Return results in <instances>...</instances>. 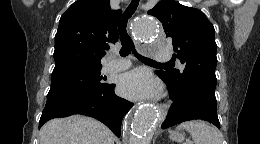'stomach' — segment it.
I'll return each mask as SVG.
<instances>
[{"mask_svg": "<svg viewBox=\"0 0 260 144\" xmlns=\"http://www.w3.org/2000/svg\"><path fill=\"white\" fill-rule=\"evenodd\" d=\"M170 138L176 142H182L185 139V134L179 131H170Z\"/></svg>", "mask_w": 260, "mask_h": 144, "instance_id": "obj_1", "label": "stomach"}]
</instances>
